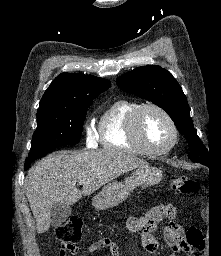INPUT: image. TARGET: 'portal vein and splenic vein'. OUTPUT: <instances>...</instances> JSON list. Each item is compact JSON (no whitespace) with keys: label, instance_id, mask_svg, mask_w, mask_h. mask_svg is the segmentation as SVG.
I'll return each mask as SVG.
<instances>
[{"label":"portal vein and splenic vein","instance_id":"obj_1","mask_svg":"<svg viewBox=\"0 0 221 256\" xmlns=\"http://www.w3.org/2000/svg\"><path fill=\"white\" fill-rule=\"evenodd\" d=\"M83 183V181H80L79 184L81 185Z\"/></svg>","mask_w":221,"mask_h":256}]
</instances>
